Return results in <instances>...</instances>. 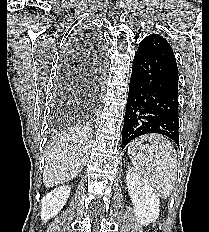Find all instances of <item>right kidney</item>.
<instances>
[{
  "label": "right kidney",
  "instance_id": "1",
  "mask_svg": "<svg viewBox=\"0 0 209 232\" xmlns=\"http://www.w3.org/2000/svg\"><path fill=\"white\" fill-rule=\"evenodd\" d=\"M71 188L68 186H61L53 191L47 193L41 200L40 216L44 222L54 217L66 204L69 198Z\"/></svg>",
  "mask_w": 209,
  "mask_h": 232
}]
</instances>
